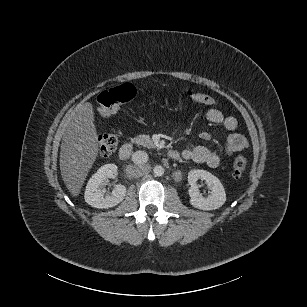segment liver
Returning a JSON list of instances; mask_svg holds the SVG:
<instances>
[{"instance_id": "liver-1", "label": "liver", "mask_w": 307, "mask_h": 307, "mask_svg": "<svg viewBox=\"0 0 307 307\" xmlns=\"http://www.w3.org/2000/svg\"><path fill=\"white\" fill-rule=\"evenodd\" d=\"M62 125L64 138L59 159L60 173L69 193L79 197L99 155L94 105L91 102L77 105Z\"/></svg>"}]
</instances>
